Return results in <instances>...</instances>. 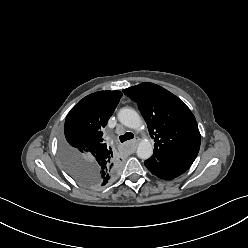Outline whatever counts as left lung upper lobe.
I'll list each match as a JSON object with an SVG mask.
<instances>
[{
	"instance_id": "5c2ea615",
	"label": "left lung upper lobe",
	"mask_w": 248,
	"mask_h": 248,
	"mask_svg": "<svg viewBox=\"0 0 248 248\" xmlns=\"http://www.w3.org/2000/svg\"><path fill=\"white\" fill-rule=\"evenodd\" d=\"M123 92L138 104L155 141L151 158L160 162L195 160L200 148V132L194 115L178 97L150 82Z\"/></svg>"
}]
</instances>
